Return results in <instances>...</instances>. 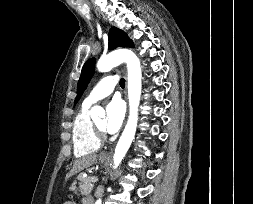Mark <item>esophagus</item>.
<instances>
[{
	"instance_id": "1",
	"label": "esophagus",
	"mask_w": 253,
	"mask_h": 204,
	"mask_svg": "<svg viewBox=\"0 0 253 204\" xmlns=\"http://www.w3.org/2000/svg\"><path fill=\"white\" fill-rule=\"evenodd\" d=\"M124 97H125V100L127 101V85L125 87V90H124ZM111 156V151H107V152H104L100 155L101 158H109Z\"/></svg>"
}]
</instances>
